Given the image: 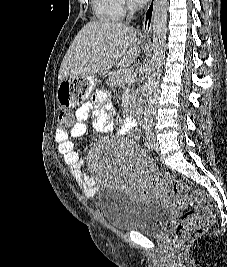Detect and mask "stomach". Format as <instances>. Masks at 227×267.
<instances>
[{
    "instance_id": "0dacf381",
    "label": "stomach",
    "mask_w": 227,
    "mask_h": 267,
    "mask_svg": "<svg viewBox=\"0 0 227 267\" xmlns=\"http://www.w3.org/2000/svg\"><path fill=\"white\" fill-rule=\"evenodd\" d=\"M94 86V76L63 77L56 101H59L60 107H78L85 96H90Z\"/></svg>"
}]
</instances>
